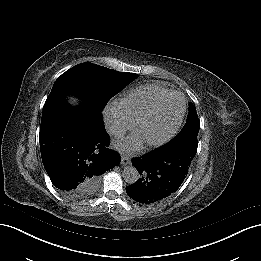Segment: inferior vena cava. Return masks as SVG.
<instances>
[{
	"label": "inferior vena cava",
	"instance_id": "obj_1",
	"mask_svg": "<svg viewBox=\"0 0 261 261\" xmlns=\"http://www.w3.org/2000/svg\"><path fill=\"white\" fill-rule=\"evenodd\" d=\"M105 126L107 133L115 138H122L126 133L125 127L117 121L106 120Z\"/></svg>",
	"mask_w": 261,
	"mask_h": 261
}]
</instances>
